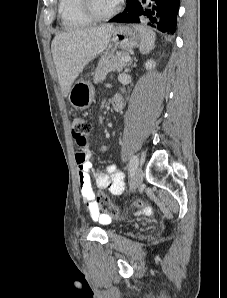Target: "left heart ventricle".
I'll list each match as a JSON object with an SVG mask.
<instances>
[{"mask_svg": "<svg viewBox=\"0 0 227 298\" xmlns=\"http://www.w3.org/2000/svg\"><path fill=\"white\" fill-rule=\"evenodd\" d=\"M95 11L99 14L110 12L117 4L116 0H92Z\"/></svg>", "mask_w": 227, "mask_h": 298, "instance_id": "left-heart-ventricle-1", "label": "left heart ventricle"}]
</instances>
